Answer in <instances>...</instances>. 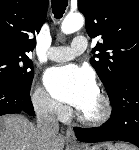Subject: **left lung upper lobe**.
Returning a JSON list of instances; mask_svg holds the SVG:
<instances>
[{"label":"left lung upper lobe","mask_w":139,"mask_h":150,"mask_svg":"<svg viewBox=\"0 0 139 150\" xmlns=\"http://www.w3.org/2000/svg\"><path fill=\"white\" fill-rule=\"evenodd\" d=\"M90 37H99L90 59L109 97L130 70L139 67V0H78Z\"/></svg>","instance_id":"5c2ea615"}]
</instances>
